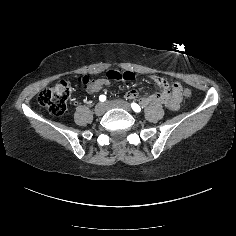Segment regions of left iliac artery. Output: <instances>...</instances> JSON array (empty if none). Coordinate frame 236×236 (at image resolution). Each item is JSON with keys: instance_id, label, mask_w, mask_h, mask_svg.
I'll list each match as a JSON object with an SVG mask.
<instances>
[{"instance_id": "left-iliac-artery-1", "label": "left iliac artery", "mask_w": 236, "mask_h": 236, "mask_svg": "<svg viewBox=\"0 0 236 236\" xmlns=\"http://www.w3.org/2000/svg\"><path fill=\"white\" fill-rule=\"evenodd\" d=\"M131 107H132V109L135 111V112H137V113H139L140 111H141V108H140V106L138 105V104H136V103H131Z\"/></svg>"}]
</instances>
